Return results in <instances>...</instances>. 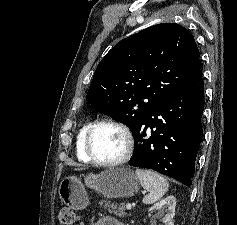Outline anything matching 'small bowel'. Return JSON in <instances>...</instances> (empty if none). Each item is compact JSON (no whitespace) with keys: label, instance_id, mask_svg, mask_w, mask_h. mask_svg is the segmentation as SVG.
I'll return each instance as SVG.
<instances>
[{"label":"small bowel","instance_id":"small-bowel-1","mask_svg":"<svg viewBox=\"0 0 237 225\" xmlns=\"http://www.w3.org/2000/svg\"><path fill=\"white\" fill-rule=\"evenodd\" d=\"M96 225H124V224L113 217L106 216V217L100 218L97 221Z\"/></svg>","mask_w":237,"mask_h":225}]
</instances>
